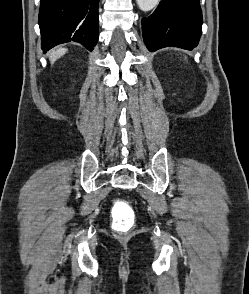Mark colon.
Wrapping results in <instances>:
<instances>
[{
	"label": "colon",
	"instance_id": "5ec220e1",
	"mask_svg": "<svg viewBox=\"0 0 249 294\" xmlns=\"http://www.w3.org/2000/svg\"><path fill=\"white\" fill-rule=\"evenodd\" d=\"M113 211H115L112 221L113 229L119 232L128 231L133 225V217L129 213L127 203L122 200H116L113 203Z\"/></svg>",
	"mask_w": 249,
	"mask_h": 294
}]
</instances>
